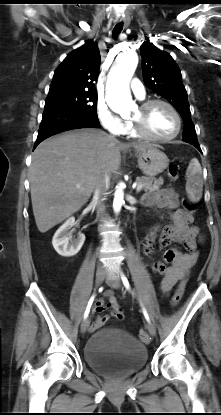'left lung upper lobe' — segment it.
Segmentation results:
<instances>
[{
    "label": "left lung upper lobe",
    "mask_w": 221,
    "mask_h": 415,
    "mask_svg": "<svg viewBox=\"0 0 221 415\" xmlns=\"http://www.w3.org/2000/svg\"><path fill=\"white\" fill-rule=\"evenodd\" d=\"M143 80L146 86L165 98L180 113L183 137L196 136L191 121L187 92L182 83L180 70L170 54L159 50L147 38L140 47Z\"/></svg>",
    "instance_id": "obj_1"
}]
</instances>
